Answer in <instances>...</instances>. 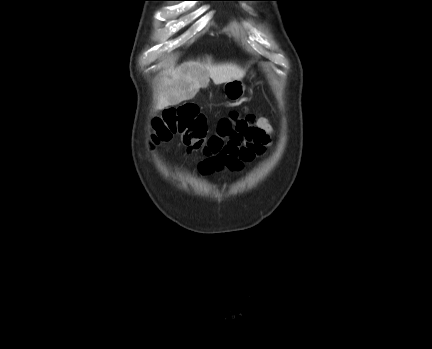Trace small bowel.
<instances>
[{
  "instance_id": "1",
  "label": "small bowel",
  "mask_w": 432,
  "mask_h": 349,
  "mask_svg": "<svg viewBox=\"0 0 432 349\" xmlns=\"http://www.w3.org/2000/svg\"><path fill=\"white\" fill-rule=\"evenodd\" d=\"M274 133L270 121L266 118H259L254 126L230 145L216 163L202 162L201 171L205 174L223 168L230 171H241L245 164L254 162L271 148Z\"/></svg>"
}]
</instances>
